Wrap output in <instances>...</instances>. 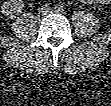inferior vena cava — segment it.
Masks as SVG:
<instances>
[{
    "mask_svg": "<svg viewBox=\"0 0 111 106\" xmlns=\"http://www.w3.org/2000/svg\"><path fill=\"white\" fill-rule=\"evenodd\" d=\"M39 12L42 15H47L48 13L51 12V8L48 5H43V6H41V8H39Z\"/></svg>",
    "mask_w": 111,
    "mask_h": 106,
    "instance_id": "obj_1",
    "label": "inferior vena cava"
}]
</instances>
